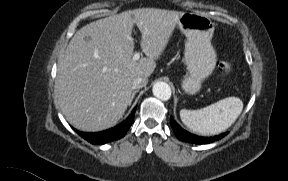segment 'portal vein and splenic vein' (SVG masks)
Wrapping results in <instances>:
<instances>
[{"mask_svg": "<svg viewBox=\"0 0 288 181\" xmlns=\"http://www.w3.org/2000/svg\"><path fill=\"white\" fill-rule=\"evenodd\" d=\"M139 58H140V53H139V52H136V53L133 55L132 60H133V61H137V60H139Z\"/></svg>", "mask_w": 288, "mask_h": 181, "instance_id": "18ae733b", "label": "portal vein and splenic vein"}]
</instances>
